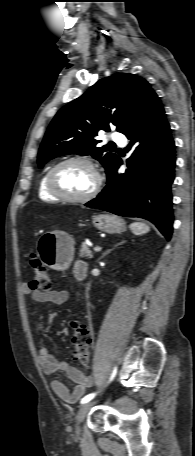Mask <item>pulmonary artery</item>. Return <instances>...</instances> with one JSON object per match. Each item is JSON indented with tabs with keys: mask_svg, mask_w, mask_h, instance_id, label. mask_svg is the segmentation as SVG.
Masks as SVG:
<instances>
[{
	"mask_svg": "<svg viewBox=\"0 0 195 456\" xmlns=\"http://www.w3.org/2000/svg\"><path fill=\"white\" fill-rule=\"evenodd\" d=\"M112 140L114 142H117L119 144H124L125 143V137L121 133L114 132L111 136Z\"/></svg>",
	"mask_w": 195,
	"mask_h": 456,
	"instance_id": "1",
	"label": "pulmonary artery"
}]
</instances>
